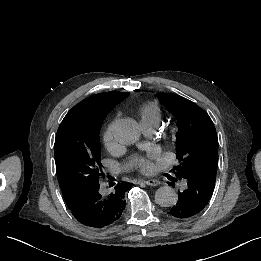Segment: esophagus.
Returning <instances> with one entry per match:
<instances>
[{
    "label": "esophagus",
    "instance_id": "34e87169",
    "mask_svg": "<svg viewBox=\"0 0 261 261\" xmlns=\"http://www.w3.org/2000/svg\"><path fill=\"white\" fill-rule=\"evenodd\" d=\"M144 183L149 186H158L161 184V182L157 179H148L145 180Z\"/></svg>",
    "mask_w": 261,
    "mask_h": 261
}]
</instances>
